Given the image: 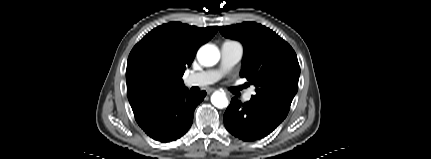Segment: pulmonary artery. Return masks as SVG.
<instances>
[{
    "label": "pulmonary artery",
    "mask_w": 431,
    "mask_h": 159,
    "mask_svg": "<svg viewBox=\"0 0 431 159\" xmlns=\"http://www.w3.org/2000/svg\"><path fill=\"white\" fill-rule=\"evenodd\" d=\"M221 64L218 69L206 70L191 74L186 79L188 86H206L217 82L225 73L232 69L243 57L244 49L241 43L233 40H226L221 45ZM254 91L248 90L244 96V101H249Z\"/></svg>",
    "instance_id": "obj_1"
}]
</instances>
